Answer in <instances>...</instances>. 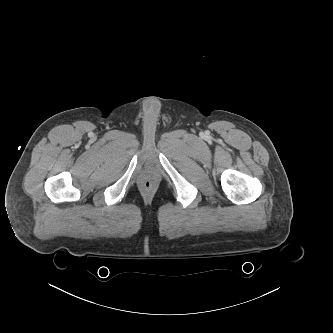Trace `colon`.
I'll use <instances>...</instances> for the list:
<instances>
[{
    "mask_svg": "<svg viewBox=\"0 0 333 333\" xmlns=\"http://www.w3.org/2000/svg\"><path fill=\"white\" fill-rule=\"evenodd\" d=\"M144 186L146 188H150L152 186L151 182L149 180L145 181Z\"/></svg>",
    "mask_w": 333,
    "mask_h": 333,
    "instance_id": "colon-1",
    "label": "colon"
}]
</instances>
